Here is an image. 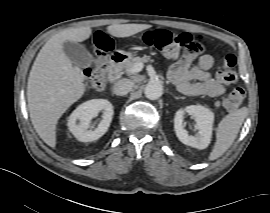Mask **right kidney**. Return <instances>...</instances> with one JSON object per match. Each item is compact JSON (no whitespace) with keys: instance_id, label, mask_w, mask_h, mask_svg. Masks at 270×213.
Returning <instances> with one entry per match:
<instances>
[{"instance_id":"obj_1","label":"right kidney","mask_w":270,"mask_h":213,"mask_svg":"<svg viewBox=\"0 0 270 213\" xmlns=\"http://www.w3.org/2000/svg\"><path fill=\"white\" fill-rule=\"evenodd\" d=\"M100 111L103 112L102 119L99 122L98 127L91 130L90 123L94 117L98 116ZM113 113V106L108 100H89L79 105L72 112L68 120V128L79 141H94L107 132L112 121Z\"/></svg>"}]
</instances>
